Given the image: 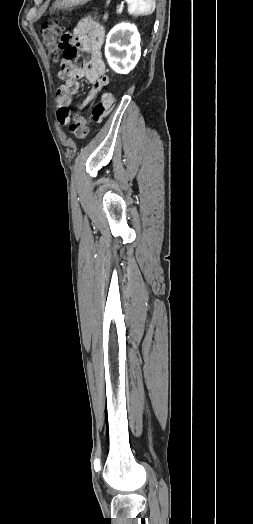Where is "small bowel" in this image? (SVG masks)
I'll return each mask as SVG.
<instances>
[{
  "mask_svg": "<svg viewBox=\"0 0 253 524\" xmlns=\"http://www.w3.org/2000/svg\"><path fill=\"white\" fill-rule=\"evenodd\" d=\"M104 36V27L92 16H84L78 20L75 31L73 29L63 30L58 37L60 44L57 46L58 51L61 52L60 76L63 80L58 90V105L60 107L69 106L79 88V81L85 79L91 84V89L83 105L91 103L99 93L98 98L92 103L91 114L95 122L109 118L117 102L112 89L104 88L108 84L102 56ZM79 49L90 55V60L81 66L74 64L79 60V53L76 51Z\"/></svg>",
  "mask_w": 253,
  "mask_h": 524,
  "instance_id": "c3829d8e",
  "label": "small bowel"
}]
</instances>
